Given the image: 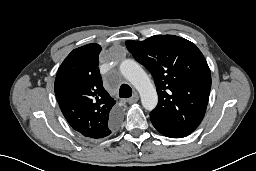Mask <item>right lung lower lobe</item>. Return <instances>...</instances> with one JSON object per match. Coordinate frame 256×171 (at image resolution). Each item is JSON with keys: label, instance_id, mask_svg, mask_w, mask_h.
<instances>
[{"label": "right lung lower lobe", "instance_id": "1", "mask_svg": "<svg viewBox=\"0 0 256 171\" xmlns=\"http://www.w3.org/2000/svg\"><path fill=\"white\" fill-rule=\"evenodd\" d=\"M120 122V113L118 111H115L110 120H109V130L113 131L117 128L118 124Z\"/></svg>", "mask_w": 256, "mask_h": 171}]
</instances>
